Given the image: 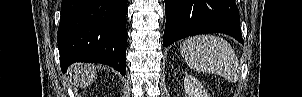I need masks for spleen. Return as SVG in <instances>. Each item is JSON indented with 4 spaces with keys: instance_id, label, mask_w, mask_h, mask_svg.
I'll list each match as a JSON object with an SVG mask.
<instances>
[{
    "instance_id": "spleen-1",
    "label": "spleen",
    "mask_w": 302,
    "mask_h": 97,
    "mask_svg": "<svg viewBox=\"0 0 302 97\" xmlns=\"http://www.w3.org/2000/svg\"><path fill=\"white\" fill-rule=\"evenodd\" d=\"M180 52L187 65L194 71L214 73L229 82L239 77V61L230 44L212 35H197L185 39Z\"/></svg>"
}]
</instances>
